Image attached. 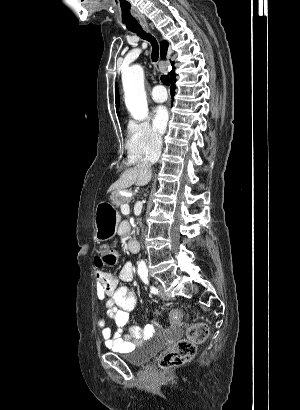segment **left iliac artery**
Instances as JSON below:
<instances>
[{
    "mask_svg": "<svg viewBox=\"0 0 300 410\" xmlns=\"http://www.w3.org/2000/svg\"><path fill=\"white\" fill-rule=\"evenodd\" d=\"M140 277L145 284L149 285L148 272L140 273ZM150 292L153 294H158V289L154 286H150Z\"/></svg>",
    "mask_w": 300,
    "mask_h": 410,
    "instance_id": "obj_1",
    "label": "left iliac artery"
}]
</instances>
